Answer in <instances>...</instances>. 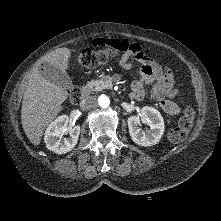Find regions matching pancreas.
<instances>
[{"instance_id": "1", "label": "pancreas", "mask_w": 221, "mask_h": 221, "mask_svg": "<svg viewBox=\"0 0 221 221\" xmlns=\"http://www.w3.org/2000/svg\"><path fill=\"white\" fill-rule=\"evenodd\" d=\"M113 86V80L110 76H103L98 80H91L87 84V91H101L103 89H110Z\"/></svg>"}]
</instances>
